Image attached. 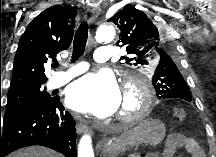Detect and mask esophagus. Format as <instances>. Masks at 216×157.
I'll return each mask as SVG.
<instances>
[{"label":"esophagus","mask_w":216,"mask_h":157,"mask_svg":"<svg viewBox=\"0 0 216 157\" xmlns=\"http://www.w3.org/2000/svg\"><path fill=\"white\" fill-rule=\"evenodd\" d=\"M100 12L101 9L99 7L88 9L84 15V19L87 22H93L99 16ZM76 131L78 134H82L87 131V126L83 123H78L76 125Z\"/></svg>","instance_id":"esophagus-1"}]
</instances>
